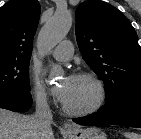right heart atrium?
<instances>
[{
  "mask_svg": "<svg viewBox=\"0 0 141 139\" xmlns=\"http://www.w3.org/2000/svg\"><path fill=\"white\" fill-rule=\"evenodd\" d=\"M29 81L32 89V94L36 102L40 105H47L50 99L49 93L39 81V79L31 74L29 76Z\"/></svg>",
  "mask_w": 141,
  "mask_h": 139,
  "instance_id": "obj_1",
  "label": "right heart atrium"
}]
</instances>
